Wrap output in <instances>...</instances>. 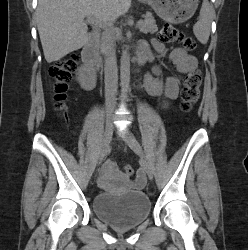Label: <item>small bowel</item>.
I'll return each instance as SVG.
<instances>
[{"mask_svg": "<svg viewBox=\"0 0 248 250\" xmlns=\"http://www.w3.org/2000/svg\"><path fill=\"white\" fill-rule=\"evenodd\" d=\"M152 44L155 50V53L150 52L146 48H142L140 52L148 56L149 61H154L156 57H168L172 62L177 71L182 74L188 73L191 70L197 69L198 63L195 57L188 54L185 50L181 48H175L169 53H167L164 44L157 40L153 39ZM159 69H154V75L148 79V88L152 92H158L159 80H158ZM180 87V81L176 77H168L164 84L163 89V106L168 105V101L173 100L177 97ZM112 165H106L104 167V176H107L108 173L112 171Z\"/></svg>", "mask_w": 248, "mask_h": 250, "instance_id": "small-bowel-1", "label": "small bowel"}]
</instances>
